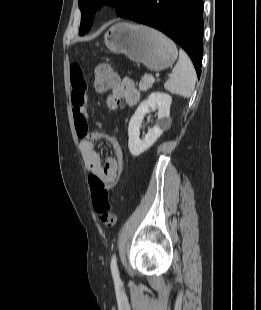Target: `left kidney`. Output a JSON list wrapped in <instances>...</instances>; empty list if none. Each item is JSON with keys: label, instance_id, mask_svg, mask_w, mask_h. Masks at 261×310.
<instances>
[{"label": "left kidney", "instance_id": "obj_1", "mask_svg": "<svg viewBox=\"0 0 261 310\" xmlns=\"http://www.w3.org/2000/svg\"><path fill=\"white\" fill-rule=\"evenodd\" d=\"M172 97L167 93L153 92L144 100L131 117L128 126V147L133 156H139L149 149L161 136L164 129L170 124V106ZM150 109H158V120L156 125L148 130V133L141 140L140 127L144 116L150 112Z\"/></svg>", "mask_w": 261, "mask_h": 310}]
</instances>
